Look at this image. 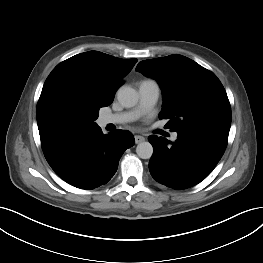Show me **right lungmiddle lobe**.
<instances>
[{
	"instance_id": "1",
	"label": "right lung middle lobe",
	"mask_w": 263,
	"mask_h": 263,
	"mask_svg": "<svg viewBox=\"0 0 263 263\" xmlns=\"http://www.w3.org/2000/svg\"><path fill=\"white\" fill-rule=\"evenodd\" d=\"M108 104L96 93L73 82H59L42 91L37 104L40 138L97 126L101 107Z\"/></svg>"
}]
</instances>
